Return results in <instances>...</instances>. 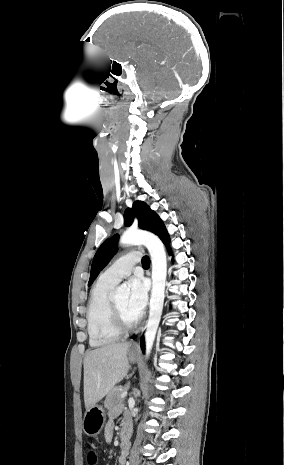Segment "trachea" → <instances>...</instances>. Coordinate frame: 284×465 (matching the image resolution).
<instances>
[{"instance_id": "3493384b", "label": "trachea", "mask_w": 284, "mask_h": 465, "mask_svg": "<svg viewBox=\"0 0 284 465\" xmlns=\"http://www.w3.org/2000/svg\"><path fill=\"white\" fill-rule=\"evenodd\" d=\"M142 265L144 267H149L150 266V258L148 256H144L142 259Z\"/></svg>"}]
</instances>
